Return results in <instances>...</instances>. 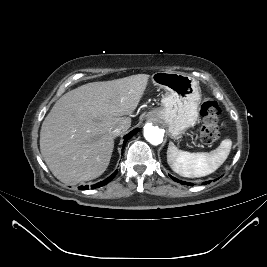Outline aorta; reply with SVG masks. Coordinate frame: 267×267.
I'll list each match as a JSON object with an SVG mask.
<instances>
[{
  "mask_svg": "<svg viewBox=\"0 0 267 267\" xmlns=\"http://www.w3.org/2000/svg\"><path fill=\"white\" fill-rule=\"evenodd\" d=\"M163 136L164 132L158 126L152 123H147L144 126V137L149 143L159 145L163 141Z\"/></svg>",
  "mask_w": 267,
  "mask_h": 267,
  "instance_id": "aorta-1",
  "label": "aorta"
}]
</instances>
